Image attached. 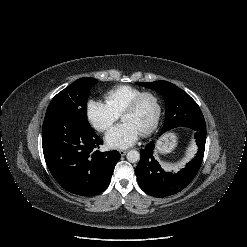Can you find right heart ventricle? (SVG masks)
<instances>
[{
    "label": "right heart ventricle",
    "mask_w": 247,
    "mask_h": 247,
    "mask_svg": "<svg viewBox=\"0 0 247 247\" xmlns=\"http://www.w3.org/2000/svg\"><path fill=\"white\" fill-rule=\"evenodd\" d=\"M141 92L143 90L140 88L131 85H120L104 94L105 103L116 114L121 115L123 109Z\"/></svg>",
    "instance_id": "1"
}]
</instances>
